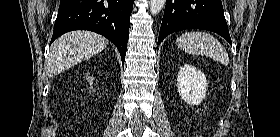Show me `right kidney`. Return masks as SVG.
Segmentation results:
<instances>
[{
	"label": "right kidney",
	"mask_w": 280,
	"mask_h": 137,
	"mask_svg": "<svg viewBox=\"0 0 280 137\" xmlns=\"http://www.w3.org/2000/svg\"><path fill=\"white\" fill-rule=\"evenodd\" d=\"M86 79H89L90 85H92L93 78H91V81H90V77H87Z\"/></svg>",
	"instance_id": "obj_1"
}]
</instances>
